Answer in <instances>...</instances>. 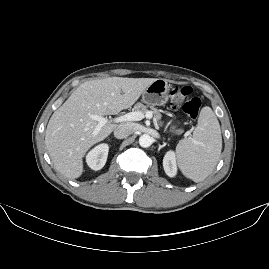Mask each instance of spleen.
I'll list each match as a JSON object with an SVG mask.
<instances>
[{
    "label": "spleen",
    "instance_id": "spleen-1",
    "mask_svg": "<svg viewBox=\"0 0 269 269\" xmlns=\"http://www.w3.org/2000/svg\"><path fill=\"white\" fill-rule=\"evenodd\" d=\"M193 139L194 142L189 139L179 141L175 148V158L183 176L199 183L212 173L222 150L220 124L208 106L201 110Z\"/></svg>",
    "mask_w": 269,
    "mask_h": 269
}]
</instances>
